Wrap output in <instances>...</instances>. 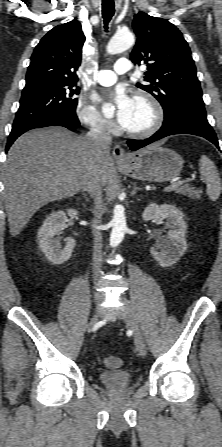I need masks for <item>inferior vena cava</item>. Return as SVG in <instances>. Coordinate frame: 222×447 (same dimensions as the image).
Returning a JSON list of instances; mask_svg holds the SVG:
<instances>
[{"label":"inferior vena cava","instance_id":"obj_1","mask_svg":"<svg viewBox=\"0 0 222 447\" xmlns=\"http://www.w3.org/2000/svg\"><path fill=\"white\" fill-rule=\"evenodd\" d=\"M86 137L91 142L92 151L97 159L104 157L110 151V145L112 137L107 130H102L100 125L91 126L90 131L86 134ZM83 190L87 191L94 199V219L93 224L98 225L102 219V183L98 177L96 171L90 173L84 178ZM92 234L94 237V250H93V274L95 279L99 277L101 258H102V233L93 228Z\"/></svg>","mask_w":222,"mask_h":447}]
</instances>
